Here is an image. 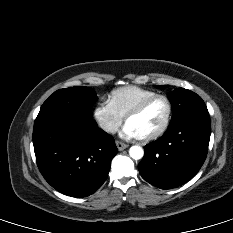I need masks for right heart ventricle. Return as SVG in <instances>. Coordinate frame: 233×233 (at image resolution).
<instances>
[{
  "label": "right heart ventricle",
  "mask_w": 233,
  "mask_h": 233,
  "mask_svg": "<svg viewBox=\"0 0 233 233\" xmlns=\"http://www.w3.org/2000/svg\"><path fill=\"white\" fill-rule=\"evenodd\" d=\"M155 94H157L155 91L139 86H124L110 93L109 102L124 118L139 103Z\"/></svg>",
  "instance_id": "e07e8e85"
}]
</instances>
